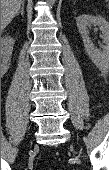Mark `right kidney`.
Returning a JSON list of instances; mask_svg holds the SVG:
<instances>
[{"instance_id": "1", "label": "right kidney", "mask_w": 109, "mask_h": 170, "mask_svg": "<svg viewBox=\"0 0 109 170\" xmlns=\"http://www.w3.org/2000/svg\"><path fill=\"white\" fill-rule=\"evenodd\" d=\"M14 46V39L11 37H4L1 39V72L5 74L10 66L12 51Z\"/></svg>"}]
</instances>
